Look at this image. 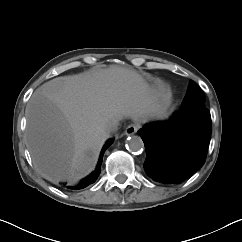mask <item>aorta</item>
Wrapping results in <instances>:
<instances>
[{"label":"aorta","instance_id":"762f6f07","mask_svg":"<svg viewBox=\"0 0 242 242\" xmlns=\"http://www.w3.org/2000/svg\"><path fill=\"white\" fill-rule=\"evenodd\" d=\"M127 148L133 152H140L144 148V143L140 137L130 136L127 140Z\"/></svg>","mask_w":242,"mask_h":242}]
</instances>
